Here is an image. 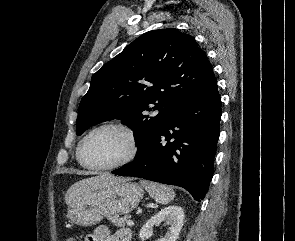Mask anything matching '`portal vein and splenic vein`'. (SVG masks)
<instances>
[{"label": "portal vein and splenic vein", "instance_id": "1", "mask_svg": "<svg viewBox=\"0 0 295 241\" xmlns=\"http://www.w3.org/2000/svg\"><path fill=\"white\" fill-rule=\"evenodd\" d=\"M127 225L128 226H133L134 225V222L132 220H127Z\"/></svg>", "mask_w": 295, "mask_h": 241}]
</instances>
